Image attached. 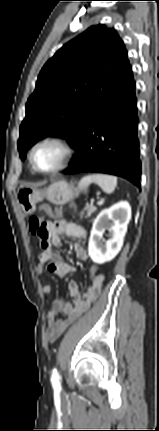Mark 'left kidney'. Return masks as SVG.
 <instances>
[{
	"label": "left kidney",
	"instance_id": "1",
	"mask_svg": "<svg viewBox=\"0 0 159 431\" xmlns=\"http://www.w3.org/2000/svg\"><path fill=\"white\" fill-rule=\"evenodd\" d=\"M131 219V207L121 201L108 209L102 210L93 222L88 253L94 263L103 264L113 260L120 252L127 225ZM109 231V240H103L105 230Z\"/></svg>",
	"mask_w": 159,
	"mask_h": 431
}]
</instances>
